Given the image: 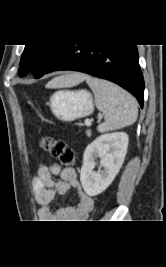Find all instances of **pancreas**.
Wrapping results in <instances>:
<instances>
[{
  "instance_id": "obj_1",
  "label": "pancreas",
  "mask_w": 166,
  "mask_h": 267,
  "mask_svg": "<svg viewBox=\"0 0 166 267\" xmlns=\"http://www.w3.org/2000/svg\"><path fill=\"white\" fill-rule=\"evenodd\" d=\"M91 131L90 130H88L87 132H86V135L89 137V136H91Z\"/></svg>"
}]
</instances>
